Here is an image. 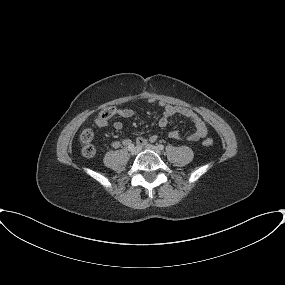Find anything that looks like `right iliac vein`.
Returning <instances> with one entry per match:
<instances>
[{"instance_id":"obj_1","label":"right iliac vein","mask_w":285,"mask_h":285,"mask_svg":"<svg viewBox=\"0 0 285 285\" xmlns=\"http://www.w3.org/2000/svg\"><path fill=\"white\" fill-rule=\"evenodd\" d=\"M140 152V148L139 147H134L132 150H130V153L132 155H137Z\"/></svg>"}]
</instances>
